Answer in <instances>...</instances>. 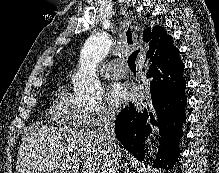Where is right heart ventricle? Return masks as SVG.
I'll use <instances>...</instances> for the list:
<instances>
[{
	"mask_svg": "<svg viewBox=\"0 0 219 173\" xmlns=\"http://www.w3.org/2000/svg\"><path fill=\"white\" fill-rule=\"evenodd\" d=\"M83 112L70 99L68 88L60 86L50 104L48 116L57 126L64 128H79L84 126L82 121Z\"/></svg>",
	"mask_w": 219,
	"mask_h": 173,
	"instance_id": "obj_1",
	"label": "right heart ventricle"
}]
</instances>
